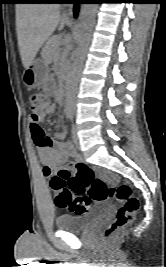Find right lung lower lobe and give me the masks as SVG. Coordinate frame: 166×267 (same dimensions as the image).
<instances>
[{
    "label": "right lung lower lobe",
    "instance_id": "obj_1",
    "mask_svg": "<svg viewBox=\"0 0 166 267\" xmlns=\"http://www.w3.org/2000/svg\"><path fill=\"white\" fill-rule=\"evenodd\" d=\"M27 3H53L55 0H25ZM78 13V1L74 6V15L77 16Z\"/></svg>",
    "mask_w": 166,
    "mask_h": 267
}]
</instances>
